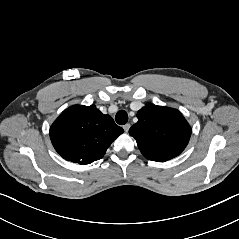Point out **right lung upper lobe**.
Listing matches in <instances>:
<instances>
[{"label":"right lung upper lobe","mask_w":239,"mask_h":239,"mask_svg":"<svg viewBox=\"0 0 239 239\" xmlns=\"http://www.w3.org/2000/svg\"><path fill=\"white\" fill-rule=\"evenodd\" d=\"M123 132L111 116L104 115L96 106L74 105L60 114L49 134L54 148L65 160L85 165L102 158Z\"/></svg>","instance_id":"right-lung-upper-lobe-1"}]
</instances>
